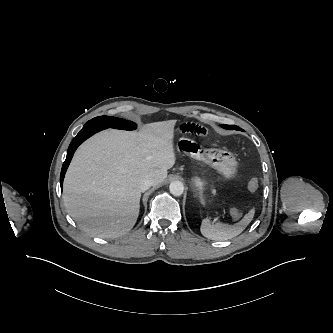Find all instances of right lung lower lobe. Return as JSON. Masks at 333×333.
<instances>
[{
	"label": "right lung lower lobe",
	"instance_id": "right-lung-lower-lobe-1",
	"mask_svg": "<svg viewBox=\"0 0 333 333\" xmlns=\"http://www.w3.org/2000/svg\"><path fill=\"white\" fill-rule=\"evenodd\" d=\"M107 127L105 126H101V127H93V126H89V127H83V129L77 134V136L72 140L71 144L69 145L68 148V152H67V156H66V160L63 163L62 166V170H61V175H60V184H61V188H62V184H63V179H64V175L65 172L68 168V165L72 159V156L75 152V150L77 149V147L84 141L86 140L88 137L92 136L94 133L106 129Z\"/></svg>",
	"mask_w": 333,
	"mask_h": 333
}]
</instances>
